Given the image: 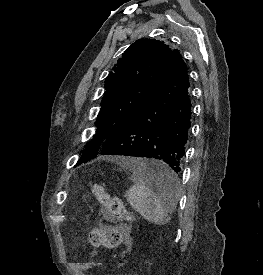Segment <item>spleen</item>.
<instances>
[{"label": "spleen", "mask_w": 263, "mask_h": 275, "mask_svg": "<svg viewBox=\"0 0 263 275\" xmlns=\"http://www.w3.org/2000/svg\"><path fill=\"white\" fill-rule=\"evenodd\" d=\"M124 170L132 173L133 186L126 192V198L131 207L138 212L147 221L164 225L169 221L167 203L176 202V192L179 187L177 176L174 179V185L170 192L159 195L152 192L147 185V177L144 174L146 169L155 168L170 172L167 165L161 162L148 161L141 158H125L120 162Z\"/></svg>", "instance_id": "3e777b00"}]
</instances>
